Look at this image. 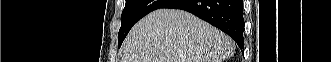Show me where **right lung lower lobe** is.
<instances>
[{
    "label": "right lung lower lobe",
    "mask_w": 331,
    "mask_h": 62,
    "mask_svg": "<svg viewBox=\"0 0 331 62\" xmlns=\"http://www.w3.org/2000/svg\"><path fill=\"white\" fill-rule=\"evenodd\" d=\"M163 8L181 9L228 34L244 51L242 0H172Z\"/></svg>",
    "instance_id": "98d812e1"
}]
</instances>
